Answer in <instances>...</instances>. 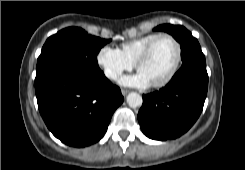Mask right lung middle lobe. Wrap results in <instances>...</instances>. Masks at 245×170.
<instances>
[{
    "instance_id": "1",
    "label": "right lung middle lobe",
    "mask_w": 245,
    "mask_h": 170,
    "mask_svg": "<svg viewBox=\"0 0 245 170\" xmlns=\"http://www.w3.org/2000/svg\"><path fill=\"white\" fill-rule=\"evenodd\" d=\"M109 41L78 27L57 32L47 39L37 60L35 85L65 70H99L97 54Z\"/></svg>"
}]
</instances>
